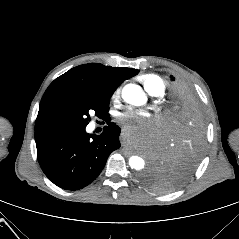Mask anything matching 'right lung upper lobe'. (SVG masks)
Masks as SVG:
<instances>
[{
	"label": "right lung upper lobe",
	"mask_w": 239,
	"mask_h": 239,
	"mask_svg": "<svg viewBox=\"0 0 239 239\" xmlns=\"http://www.w3.org/2000/svg\"><path fill=\"white\" fill-rule=\"evenodd\" d=\"M138 72L133 68L104 66L99 63L72 68L49 85L41 99L38 113L63 101L89 95L111 96L124 80Z\"/></svg>",
	"instance_id": "obj_1"
}]
</instances>
